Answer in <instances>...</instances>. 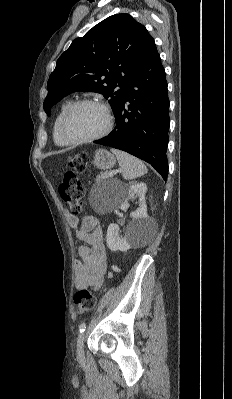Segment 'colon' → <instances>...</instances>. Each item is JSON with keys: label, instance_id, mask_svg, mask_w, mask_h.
Segmentation results:
<instances>
[{"label": "colon", "instance_id": "colon-1", "mask_svg": "<svg viewBox=\"0 0 232 399\" xmlns=\"http://www.w3.org/2000/svg\"><path fill=\"white\" fill-rule=\"evenodd\" d=\"M66 165L72 168V172H85V168H88V163L86 160V153L68 155L66 158ZM76 180H78V175H62V185L60 186L59 194H70V196H77V198H63V203H70L69 211L73 214H79L82 212V207H75V203H85V198H82V185H76ZM78 294L81 296H73V301H81V303H76V308L78 312H86V314H91L92 316H97L98 304V293H90L89 289H78ZM93 299V300H91Z\"/></svg>", "mask_w": 232, "mask_h": 399}]
</instances>
